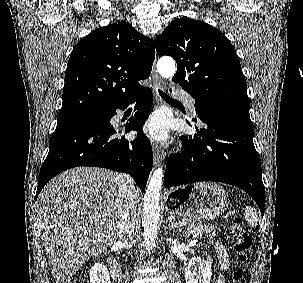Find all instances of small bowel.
<instances>
[{
    "label": "small bowel",
    "mask_w": 303,
    "mask_h": 283,
    "mask_svg": "<svg viewBox=\"0 0 303 283\" xmlns=\"http://www.w3.org/2000/svg\"><path fill=\"white\" fill-rule=\"evenodd\" d=\"M216 253L218 255L220 264L223 268H227L229 265V257L226 249L222 244H216L215 246ZM215 283H225V279L221 276L217 277Z\"/></svg>",
    "instance_id": "obj_1"
}]
</instances>
